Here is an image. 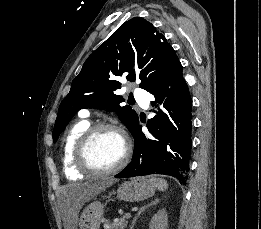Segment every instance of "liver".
<instances>
[{
    "label": "liver",
    "instance_id": "obj_1",
    "mask_svg": "<svg viewBox=\"0 0 261 229\" xmlns=\"http://www.w3.org/2000/svg\"><path fill=\"white\" fill-rule=\"evenodd\" d=\"M117 183L116 179H112V177H107L104 181H94V183H79V185H75V189L70 187L71 193H74L73 199L76 201V205L78 209H81L83 203H87L96 195H100L103 193L105 189L111 187ZM75 219H73V213H69V223L72 229H77L76 223H74Z\"/></svg>",
    "mask_w": 261,
    "mask_h": 229
}]
</instances>
